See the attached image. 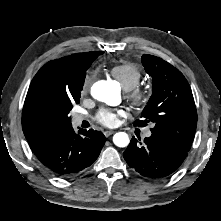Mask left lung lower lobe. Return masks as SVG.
Listing matches in <instances>:
<instances>
[{
  "label": "left lung lower lobe",
  "mask_w": 221,
  "mask_h": 221,
  "mask_svg": "<svg viewBox=\"0 0 221 221\" xmlns=\"http://www.w3.org/2000/svg\"><path fill=\"white\" fill-rule=\"evenodd\" d=\"M185 151L161 136L152 134L140 142L133 138L123 156L129 167L143 177L162 179L174 173L187 157Z\"/></svg>",
  "instance_id": "obj_1"
}]
</instances>
